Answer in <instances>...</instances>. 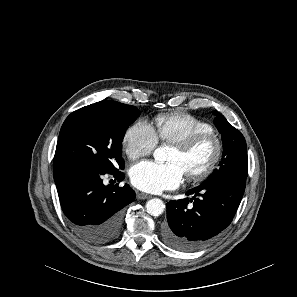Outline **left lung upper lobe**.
<instances>
[{
	"label": "left lung upper lobe",
	"mask_w": 297,
	"mask_h": 297,
	"mask_svg": "<svg viewBox=\"0 0 297 297\" xmlns=\"http://www.w3.org/2000/svg\"><path fill=\"white\" fill-rule=\"evenodd\" d=\"M214 113L216 115L214 123L222 135L223 155L219 169H215L204 182L218 179L246 181L248 157L245 138L223 115L218 112Z\"/></svg>",
	"instance_id": "1"
}]
</instances>
